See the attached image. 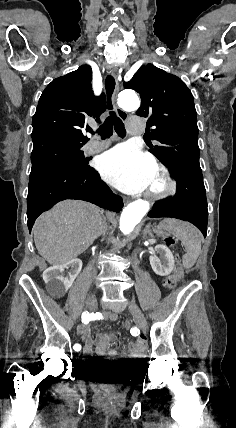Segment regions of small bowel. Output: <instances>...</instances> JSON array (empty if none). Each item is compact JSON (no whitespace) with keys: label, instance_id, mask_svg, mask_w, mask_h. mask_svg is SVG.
I'll return each mask as SVG.
<instances>
[{"label":"small bowel","instance_id":"c3829d8e","mask_svg":"<svg viewBox=\"0 0 236 428\" xmlns=\"http://www.w3.org/2000/svg\"><path fill=\"white\" fill-rule=\"evenodd\" d=\"M104 318L110 321L117 320V316L114 313H105ZM78 332L82 336L85 342L83 352L87 356H90L93 353L94 343L96 344V349H95L96 354L98 355L107 354L112 359L120 358L126 363H135L141 360L145 351L146 341L143 337H139L135 341L129 342L127 351L125 353L120 354L116 350H110L107 352V347L110 344V342L113 340V335L108 333H101L96 337L94 342L91 337V329L89 326H85V325L79 326Z\"/></svg>","mask_w":236,"mask_h":428}]
</instances>
